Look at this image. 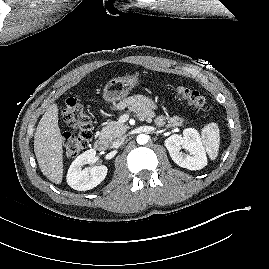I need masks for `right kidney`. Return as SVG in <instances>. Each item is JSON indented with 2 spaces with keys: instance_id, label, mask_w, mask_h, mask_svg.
Returning a JSON list of instances; mask_svg holds the SVG:
<instances>
[{
  "instance_id": "obj_1",
  "label": "right kidney",
  "mask_w": 269,
  "mask_h": 269,
  "mask_svg": "<svg viewBox=\"0 0 269 269\" xmlns=\"http://www.w3.org/2000/svg\"><path fill=\"white\" fill-rule=\"evenodd\" d=\"M96 161V151L90 149L79 155L70 165L67 173L68 185L79 191H86L98 186L106 177L108 168L105 165L91 168L82 167Z\"/></svg>"
}]
</instances>
